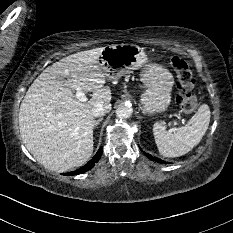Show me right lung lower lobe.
I'll return each mask as SVG.
<instances>
[{
    "instance_id": "1",
    "label": "right lung lower lobe",
    "mask_w": 233,
    "mask_h": 233,
    "mask_svg": "<svg viewBox=\"0 0 233 233\" xmlns=\"http://www.w3.org/2000/svg\"><path fill=\"white\" fill-rule=\"evenodd\" d=\"M102 152H103V148L100 147L98 152L96 153V155L93 157V159H91L86 165H84L83 167L79 168L76 171L64 173V175L72 176V175L81 174V173H84V172L90 170L100 160Z\"/></svg>"
}]
</instances>
